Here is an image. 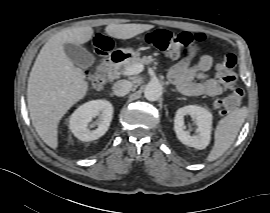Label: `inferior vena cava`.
<instances>
[{
  "instance_id": "1",
  "label": "inferior vena cava",
  "mask_w": 270,
  "mask_h": 213,
  "mask_svg": "<svg viewBox=\"0 0 270 213\" xmlns=\"http://www.w3.org/2000/svg\"><path fill=\"white\" fill-rule=\"evenodd\" d=\"M112 89H113V93L116 96H125L132 89V83L130 81H127V80H120V81H117L113 85Z\"/></svg>"
}]
</instances>
